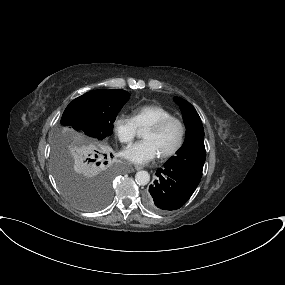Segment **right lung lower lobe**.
I'll list each match as a JSON object with an SVG mask.
<instances>
[{"mask_svg": "<svg viewBox=\"0 0 285 285\" xmlns=\"http://www.w3.org/2000/svg\"><path fill=\"white\" fill-rule=\"evenodd\" d=\"M102 165H103V164H102ZM102 165H100V166L94 165V167L91 168L92 173H97V172H99V171L101 170Z\"/></svg>", "mask_w": 285, "mask_h": 285, "instance_id": "right-lung-lower-lobe-1", "label": "right lung lower lobe"}]
</instances>
